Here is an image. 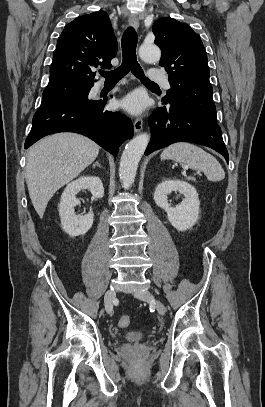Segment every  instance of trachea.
Segmentation results:
<instances>
[{
  "label": "trachea",
  "instance_id": "obj_1",
  "mask_svg": "<svg viewBox=\"0 0 265 407\" xmlns=\"http://www.w3.org/2000/svg\"><path fill=\"white\" fill-rule=\"evenodd\" d=\"M138 43V37L135 29L133 27H128L121 40L122 44V64L113 71H99L100 75L108 81H118L122 79L130 71L132 74L141 80L145 85L158 86L157 84L151 82L147 77H145L144 72L137 62L136 58V47Z\"/></svg>",
  "mask_w": 265,
  "mask_h": 407
}]
</instances>
